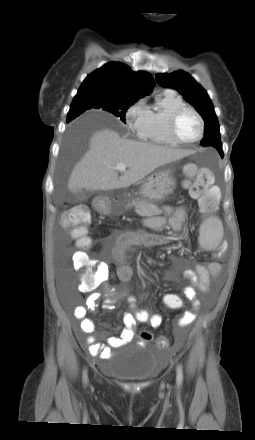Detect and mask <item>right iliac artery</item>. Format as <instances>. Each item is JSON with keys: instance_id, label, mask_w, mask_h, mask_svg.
Masks as SVG:
<instances>
[{"instance_id": "1", "label": "right iliac artery", "mask_w": 255, "mask_h": 440, "mask_svg": "<svg viewBox=\"0 0 255 440\" xmlns=\"http://www.w3.org/2000/svg\"><path fill=\"white\" fill-rule=\"evenodd\" d=\"M84 382L86 383V380H87V376H86V374H84Z\"/></svg>"}]
</instances>
